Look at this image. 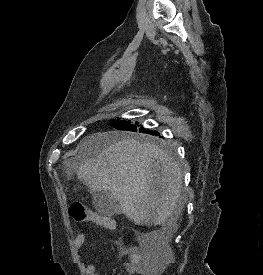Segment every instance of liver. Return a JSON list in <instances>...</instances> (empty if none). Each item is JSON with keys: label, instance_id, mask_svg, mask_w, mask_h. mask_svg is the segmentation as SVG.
Here are the masks:
<instances>
[{"label": "liver", "instance_id": "liver-1", "mask_svg": "<svg viewBox=\"0 0 263 275\" xmlns=\"http://www.w3.org/2000/svg\"><path fill=\"white\" fill-rule=\"evenodd\" d=\"M76 175L91 193L108 191L135 224L175 228L185 204L178 164L159 146L114 132L95 133L80 144Z\"/></svg>", "mask_w": 263, "mask_h": 275}]
</instances>
